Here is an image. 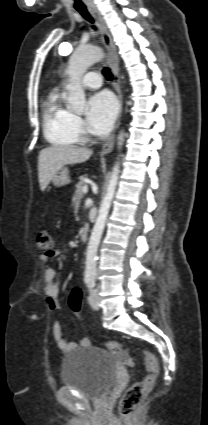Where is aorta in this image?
Masks as SVG:
<instances>
[{"mask_svg": "<svg viewBox=\"0 0 208 425\" xmlns=\"http://www.w3.org/2000/svg\"><path fill=\"white\" fill-rule=\"evenodd\" d=\"M103 57V52L97 47L77 48L69 60V66L66 71L69 81L66 85L68 90V106L76 113H82L84 110L86 98L81 84V79L87 69ZM124 141V132L118 135V147L121 148ZM119 162L115 164L110 175L107 186V192L103 198L99 214L94 224L86 252L85 279H95L96 259L100 240L105 227L106 219L114 198L116 186L119 179Z\"/></svg>", "mask_w": 208, "mask_h": 425, "instance_id": "1", "label": "aorta"}]
</instances>
